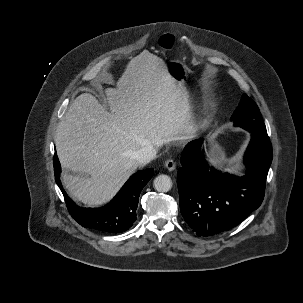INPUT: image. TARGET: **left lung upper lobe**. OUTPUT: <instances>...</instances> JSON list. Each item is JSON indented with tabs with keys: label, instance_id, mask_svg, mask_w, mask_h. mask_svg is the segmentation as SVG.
Instances as JSON below:
<instances>
[{
	"label": "left lung upper lobe",
	"instance_id": "5c2ea615",
	"mask_svg": "<svg viewBox=\"0 0 303 303\" xmlns=\"http://www.w3.org/2000/svg\"><path fill=\"white\" fill-rule=\"evenodd\" d=\"M231 120L235 126H241L247 130H254L262 137H268L265 124L256 103L247 95H243L241 102Z\"/></svg>",
	"mask_w": 303,
	"mask_h": 303
}]
</instances>
